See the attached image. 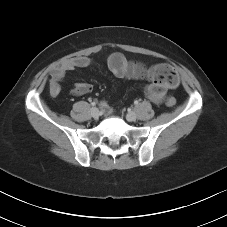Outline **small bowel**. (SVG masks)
Segmentation results:
<instances>
[{
    "mask_svg": "<svg viewBox=\"0 0 227 227\" xmlns=\"http://www.w3.org/2000/svg\"><path fill=\"white\" fill-rule=\"evenodd\" d=\"M92 65V60L85 56L69 59L65 63L55 67L51 71L50 93L57 96L60 91V83L67 72L76 68H85ZM107 66L111 73L118 78L147 79L148 84L144 92L146 97L155 104H161L169 88L175 87L159 80L155 66L146 67L141 62L131 61L121 53H113L107 59ZM92 85L86 82L74 84L71 92L75 96L85 95L92 91ZM106 107L105 103H102Z\"/></svg>",
    "mask_w": 227,
    "mask_h": 227,
    "instance_id": "c3829d8e",
    "label": "small bowel"
}]
</instances>
